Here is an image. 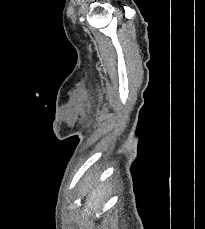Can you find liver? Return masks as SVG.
<instances>
[{"instance_id":"1","label":"liver","mask_w":205,"mask_h":229,"mask_svg":"<svg viewBox=\"0 0 205 229\" xmlns=\"http://www.w3.org/2000/svg\"><path fill=\"white\" fill-rule=\"evenodd\" d=\"M87 192L86 197V204L84 211L82 212V219H87L91 212H95L100 207V202L102 201L103 191L101 189V186L93 187L91 183H88L87 186L84 188ZM81 221V225H93V221H87L84 223V221Z\"/></svg>"}]
</instances>
